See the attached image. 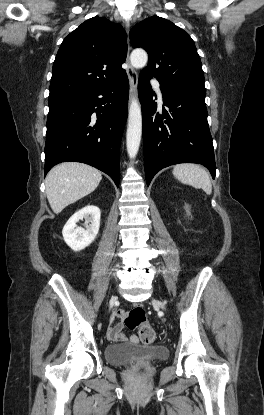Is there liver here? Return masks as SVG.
<instances>
[{
	"label": "liver",
	"instance_id": "1",
	"mask_svg": "<svg viewBox=\"0 0 264 415\" xmlns=\"http://www.w3.org/2000/svg\"><path fill=\"white\" fill-rule=\"evenodd\" d=\"M102 180L99 170L83 163L65 162L46 176V194L54 213L93 192Z\"/></svg>",
	"mask_w": 264,
	"mask_h": 415
}]
</instances>
